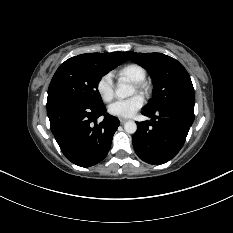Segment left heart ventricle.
Wrapping results in <instances>:
<instances>
[{"label":"left heart ventricle","mask_w":233,"mask_h":233,"mask_svg":"<svg viewBox=\"0 0 233 233\" xmlns=\"http://www.w3.org/2000/svg\"><path fill=\"white\" fill-rule=\"evenodd\" d=\"M134 93H136V90H135V88H133V90H132V94H134Z\"/></svg>","instance_id":"1"}]
</instances>
